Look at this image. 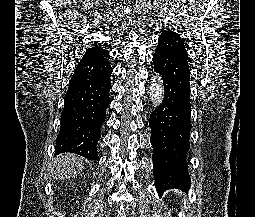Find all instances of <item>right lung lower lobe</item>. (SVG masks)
<instances>
[{
	"mask_svg": "<svg viewBox=\"0 0 255 217\" xmlns=\"http://www.w3.org/2000/svg\"><path fill=\"white\" fill-rule=\"evenodd\" d=\"M111 73L107 59L77 64L65 95L57 154L70 152L98 160L96 145L109 105Z\"/></svg>",
	"mask_w": 255,
	"mask_h": 217,
	"instance_id": "right-lung-lower-lobe-1",
	"label": "right lung lower lobe"
}]
</instances>
